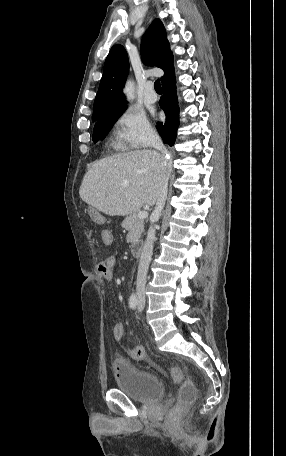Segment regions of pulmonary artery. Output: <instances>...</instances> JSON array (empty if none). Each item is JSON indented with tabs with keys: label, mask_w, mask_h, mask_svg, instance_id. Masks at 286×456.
Segmentation results:
<instances>
[{
	"label": "pulmonary artery",
	"mask_w": 286,
	"mask_h": 456,
	"mask_svg": "<svg viewBox=\"0 0 286 456\" xmlns=\"http://www.w3.org/2000/svg\"><path fill=\"white\" fill-rule=\"evenodd\" d=\"M144 98L148 103H154L157 101V94L153 90V84L151 82L147 83L144 91Z\"/></svg>",
	"instance_id": "obj_1"
}]
</instances>
